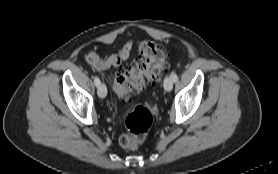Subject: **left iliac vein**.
<instances>
[{"mask_svg":"<svg viewBox=\"0 0 278 174\" xmlns=\"http://www.w3.org/2000/svg\"><path fill=\"white\" fill-rule=\"evenodd\" d=\"M164 89L168 92H170L173 88V80L171 77H166L164 80Z\"/></svg>","mask_w":278,"mask_h":174,"instance_id":"left-iliac-vein-1","label":"left iliac vein"}]
</instances>
